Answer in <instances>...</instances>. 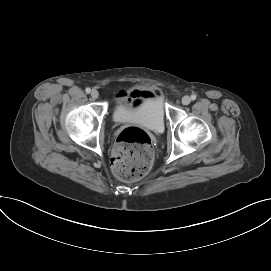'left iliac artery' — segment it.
I'll use <instances>...</instances> for the list:
<instances>
[{"label": "left iliac artery", "mask_w": 271, "mask_h": 271, "mask_svg": "<svg viewBox=\"0 0 271 271\" xmlns=\"http://www.w3.org/2000/svg\"><path fill=\"white\" fill-rule=\"evenodd\" d=\"M191 99H192V100H195V99H196V95H195V94H192V95H191Z\"/></svg>", "instance_id": "1"}]
</instances>
